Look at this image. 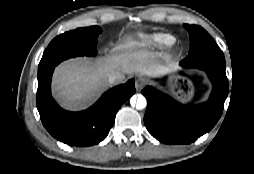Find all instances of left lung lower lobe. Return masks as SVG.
<instances>
[{
  "instance_id": "left-lung-lower-lobe-1",
  "label": "left lung lower lobe",
  "mask_w": 254,
  "mask_h": 174,
  "mask_svg": "<svg viewBox=\"0 0 254 174\" xmlns=\"http://www.w3.org/2000/svg\"><path fill=\"white\" fill-rule=\"evenodd\" d=\"M180 65L205 71L213 89L207 102L195 106L182 105L151 86L142 90L147 98L145 126L152 136L165 144H189L209 132L222 115L228 95L225 64L181 61Z\"/></svg>"
}]
</instances>
